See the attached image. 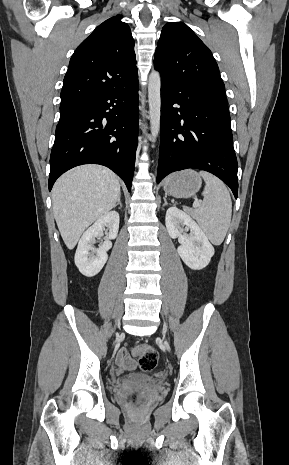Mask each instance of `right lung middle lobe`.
I'll use <instances>...</instances> for the list:
<instances>
[{
	"mask_svg": "<svg viewBox=\"0 0 289 465\" xmlns=\"http://www.w3.org/2000/svg\"><path fill=\"white\" fill-rule=\"evenodd\" d=\"M83 109H84L83 102L60 106V121L59 122H64L74 117L79 112L83 111Z\"/></svg>",
	"mask_w": 289,
	"mask_h": 465,
	"instance_id": "right-lung-middle-lobe-1",
	"label": "right lung middle lobe"
}]
</instances>
